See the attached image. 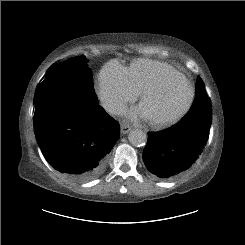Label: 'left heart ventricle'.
I'll return each mask as SVG.
<instances>
[{
	"label": "left heart ventricle",
	"instance_id": "1",
	"mask_svg": "<svg viewBox=\"0 0 245 245\" xmlns=\"http://www.w3.org/2000/svg\"><path fill=\"white\" fill-rule=\"evenodd\" d=\"M190 97V88L184 78L172 77L156 94L141 105L148 119L167 118L179 112Z\"/></svg>",
	"mask_w": 245,
	"mask_h": 245
}]
</instances>
